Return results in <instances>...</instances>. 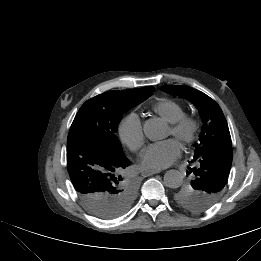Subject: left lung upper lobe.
Instances as JSON below:
<instances>
[{
    "mask_svg": "<svg viewBox=\"0 0 261 261\" xmlns=\"http://www.w3.org/2000/svg\"><path fill=\"white\" fill-rule=\"evenodd\" d=\"M162 91L191 101L200 111L203 121L199 143L191 163L194 170L208 165L210 175L195 179L179 187L175 201L183 208L199 213L210 208L221 196L232 164V142L227 121L219 105L201 91L186 85L162 86Z\"/></svg>",
    "mask_w": 261,
    "mask_h": 261,
    "instance_id": "left-lung-upper-lobe-1",
    "label": "left lung upper lobe"
}]
</instances>
